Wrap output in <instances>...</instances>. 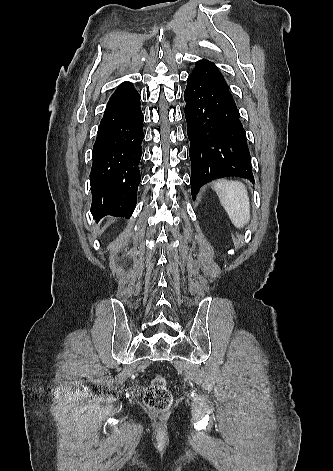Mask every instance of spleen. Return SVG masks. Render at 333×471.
Masks as SVG:
<instances>
[{
    "label": "spleen",
    "instance_id": "spleen-1",
    "mask_svg": "<svg viewBox=\"0 0 333 471\" xmlns=\"http://www.w3.org/2000/svg\"><path fill=\"white\" fill-rule=\"evenodd\" d=\"M214 188L233 225L243 228L250 220V202L244 184L222 179L215 183Z\"/></svg>",
    "mask_w": 333,
    "mask_h": 471
}]
</instances>
